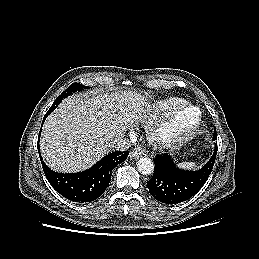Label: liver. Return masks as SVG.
I'll return each mask as SVG.
<instances>
[{
	"label": "liver",
	"instance_id": "6515ba94",
	"mask_svg": "<svg viewBox=\"0 0 259 259\" xmlns=\"http://www.w3.org/2000/svg\"><path fill=\"white\" fill-rule=\"evenodd\" d=\"M144 107H150L147 98L131 91L68 97L43 125L40 150L45 163L63 173L89 168L138 121Z\"/></svg>",
	"mask_w": 259,
	"mask_h": 259
}]
</instances>
